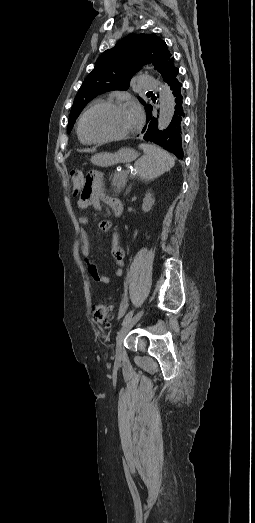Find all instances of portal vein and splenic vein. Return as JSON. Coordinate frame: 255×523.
Here are the masks:
<instances>
[{
  "label": "portal vein and splenic vein",
  "instance_id": "18ae733b",
  "mask_svg": "<svg viewBox=\"0 0 255 523\" xmlns=\"http://www.w3.org/2000/svg\"><path fill=\"white\" fill-rule=\"evenodd\" d=\"M123 172H124L125 174H128V173L130 172V169H129L128 167H125V168L123 169Z\"/></svg>",
  "mask_w": 255,
  "mask_h": 523
}]
</instances>
